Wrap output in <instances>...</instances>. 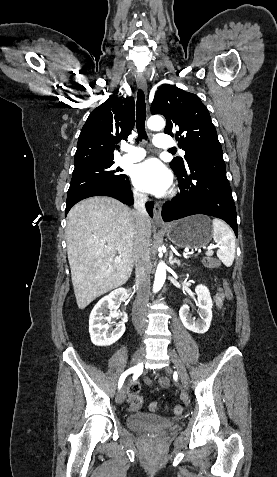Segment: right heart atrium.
<instances>
[{
	"label": "right heart atrium",
	"mask_w": 277,
	"mask_h": 477,
	"mask_svg": "<svg viewBox=\"0 0 277 477\" xmlns=\"http://www.w3.org/2000/svg\"><path fill=\"white\" fill-rule=\"evenodd\" d=\"M133 194H134L135 198L138 199V200H144V198H145L144 194L137 189L133 190Z\"/></svg>",
	"instance_id": "d8ad5b80"
}]
</instances>
